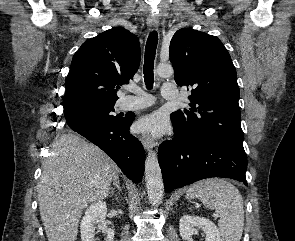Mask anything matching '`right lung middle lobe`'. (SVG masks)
<instances>
[{"label": "right lung middle lobe", "mask_w": 295, "mask_h": 241, "mask_svg": "<svg viewBox=\"0 0 295 241\" xmlns=\"http://www.w3.org/2000/svg\"><path fill=\"white\" fill-rule=\"evenodd\" d=\"M127 115L115 114L114 104H103L88 106L65 113L67 124L77 123L89 119H102L113 122H122L126 119Z\"/></svg>", "instance_id": "obj_1"}]
</instances>
